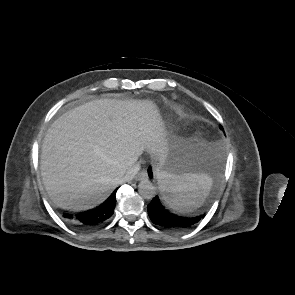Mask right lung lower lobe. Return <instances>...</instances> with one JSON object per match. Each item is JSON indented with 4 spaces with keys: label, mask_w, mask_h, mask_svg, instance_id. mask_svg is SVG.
Here are the masks:
<instances>
[{
    "label": "right lung lower lobe",
    "mask_w": 295,
    "mask_h": 295,
    "mask_svg": "<svg viewBox=\"0 0 295 295\" xmlns=\"http://www.w3.org/2000/svg\"><path fill=\"white\" fill-rule=\"evenodd\" d=\"M115 193L112 195L97 209L90 211L85 214L76 216L78 223L84 227H93L104 223L108 218H110L114 212L115 208Z\"/></svg>",
    "instance_id": "right-lung-lower-lobe-1"
}]
</instances>
